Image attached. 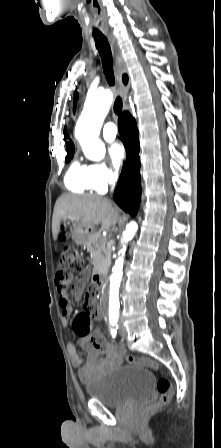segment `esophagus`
<instances>
[{
  "mask_svg": "<svg viewBox=\"0 0 221 448\" xmlns=\"http://www.w3.org/2000/svg\"><path fill=\"white\" fill-rule=\"evenodd\" d=\"M108 39L116 60V78L119 84L120 93L124 98L123 108L127 111L128 104L126 103V98L128 95V87H126L122 82V75L126 72V65L121 55V51L116 43V39L112 35H108Z\"/></svg>",
  "mask_w": 221,
  "mask_h": 448,
  "instance_id": "obj_1",
  "label": "esophagus"
}]
</instances>
